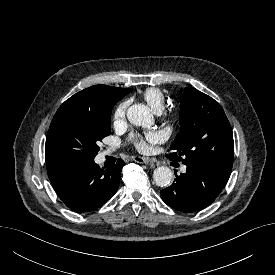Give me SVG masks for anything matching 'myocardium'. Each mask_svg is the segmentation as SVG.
<instances>
[{"instance_id":"myocardium-1","label":"myocardium","mask_w":275,"mask_h":275,"mask_svg":"<svg viewBox=\"0 0 275 275\" xmlns=\"http://www.w3.org/2000/svg\"><path fill=\"white\" fill-rule=\"evenodd\" d=\"M166 119L172 123H176L180 120L181 113L177 108H171L164 113Z\"/></svg>"}]
</instances>
